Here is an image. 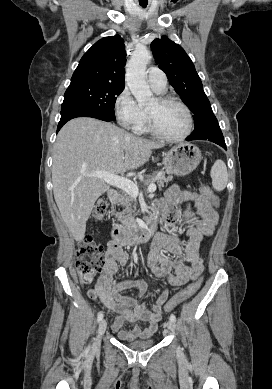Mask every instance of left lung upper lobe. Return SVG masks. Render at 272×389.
I'll return each mask as SVG.
<instances>
[{"mask_svg":"<svg viewBox=\"0 0 272 389\" xmlns=\"http://www.w3.org/2000/svg\"><path fill=\"white\" fill-rule=\"evenodd\" d=\"M151 49L156 63L193 113L196 133L217 120L203 90L202 82L184 49L166 36L155 39Z\"/></svg>","mask_w":272,"mask_h":389,"instance_id":"left-lung-upper-lobe-1","label":"left lung upper lobe"}]
</instances>
